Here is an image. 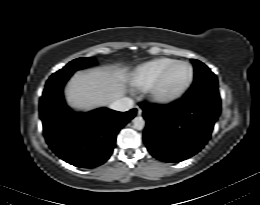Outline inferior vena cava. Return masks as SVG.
<instances>
[{
    "instance_id": "1",
    "label": "inferior vena cava",
    "mask_w": 260,
    "mask_h": 205,
    "mask_svg": "<svg viewBox=\"0 0 260 205\" xmlns=\"http://www.w3.org/2000/svg\"><path fill=\"white\" fill-rule=\"evenodd\" d=\"M134 101L128 97H122L110 104V108L116 111H128L133 108Z\"/></svg>"
}]
</instances>
